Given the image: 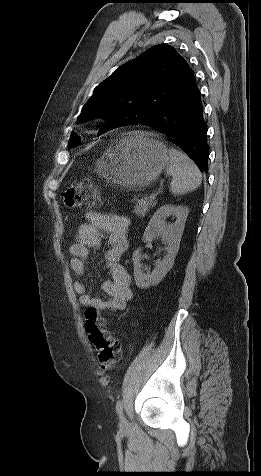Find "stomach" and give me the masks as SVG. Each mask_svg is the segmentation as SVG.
Instances as JSON below:
<instances>
[{
	"label": "stomach",
	"mask_w": 261,
	"mask_h": 476,
	"mask_svg": "<svg viewBox=\"0 0 261 476\" xmlns=\"http://www.w3.org/2000/svg\"><path fill=\"white\" fill-rule=\"evenodd\" d=\"M168 164V151L162 142L133 132L116 140L95 167L108 180L130 189L150 184Z\"/></svg>",
	"instance_id": "stomach-1"
}]
</instances>
